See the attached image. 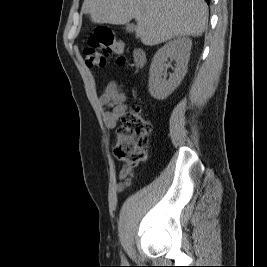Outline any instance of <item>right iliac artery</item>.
<instances>
[{
	"label": "right iliac artery",
	"instance_id": "obj_1",
	"mask_svg": "<svg viewBox=\"0 0 267 267\" xmlns=\"http://www.w3.org/2000/svg\"><path fill=\"white\" fill-rule=\"evenodd\" d=\"M122 262H125V258L122 256Z\"/></svg>",
	"mask_w": 267,
	"mask_h": 267
}]
</instances>
